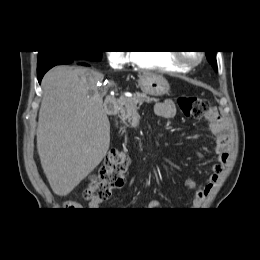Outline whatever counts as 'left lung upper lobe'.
Listing matches in <instances>:
<instances>
[{"label": "left lung upper lobe", "instance_id": "5c2ea615", "mask_svg": "<svg viewBox=\"0 0 260 260\" xmlns=\"http://www.w3.org/2000/svg\"><path fill=\"white\" fill-rule=\"evenodd\" d=\"M206 53H207V58H208L209 63L217 71V61L215 58V51H206Z\"/></svg>", "mask_w": 260, "mask_h": 260}]
</instances>
